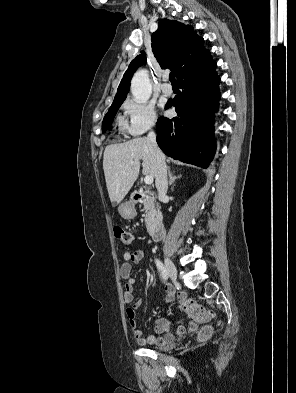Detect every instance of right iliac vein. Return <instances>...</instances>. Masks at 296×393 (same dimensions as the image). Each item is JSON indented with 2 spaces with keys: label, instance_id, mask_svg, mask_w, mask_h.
I'll use <instances>...</instances> for the list:
<instances>
[{
  "label": "right iliac vein",
  "instance_id": "obj_1",
  "mask_svg": "<svg viewBox=\"0 0 296 393\" xmlns=\"http://www.w3.org/2000/svg\"><path fill=\"white\" fill-rule=\"evenodd\" d=\"M165 265L168 275L173 281H175L177 278V270L174 263L168 257H165Z\"/></svg>",
  "mask_w": 296,
  "mask_h": 393
}]
</instances>
